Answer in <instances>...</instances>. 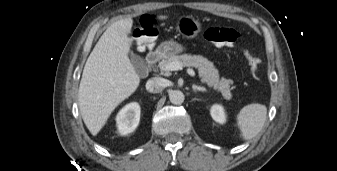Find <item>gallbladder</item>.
Instances as JSON below:
<instances>
[{
    "label": "gallbladder",
    "mask_w": 337,
    "mask_h": 171,
    "mask_svg": "<svg viewBox=\"0 0 337 171\" xmlns=\"http://www.w3.org/2000/svg\"><path fill=\"white\" fill-rule=\"evenodd\" d=\"M131 60L138 72L142 71L145 68V63L140 56L131 53Z\"/></svg>",
    "instance_id": "bac80fb5"
}]
</instances>
